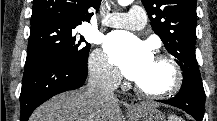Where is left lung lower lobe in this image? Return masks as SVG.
Wrapping results in <instances>:
<instances>
[{
	"label": "left lung lower lobe",
	"instance_id": "obj_1",
	"mask_svg": "<svg viewBox=\"0 0 217 121\" xmlns=\"http://www.w3.org/2000/svg\"><path fill=\"white\" fill-rule=\"evenodd\" d=\"M184 110L196 121H202L204 116L205 92L202 81L183 77L179 93L168 100H158Z\"/></svg>",
	"mask_w": 217,
	"mask_h": 121
}]
</instances>
